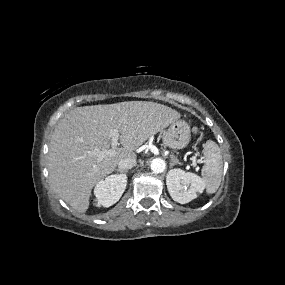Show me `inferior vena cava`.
Instances as JSON below:
<instances>
[{
  "label": "inferior vena cava",
  "instance_id": "inferior-vena-cava-1",
  "mask_svg": "<svg viewBox=\"0 0 285 285\" xmlns=\"http://www.w3.org/2000/svg\"><path fill=\"white\" fill-rule=\"evenodd\" d=\"M136 164H137V161L135 158H126V159L120 160L117 165L120 170H128L136 166Z\"/></svg>",
  "mask_w": 285,
  "mask_h": 285
}]
</instances>
